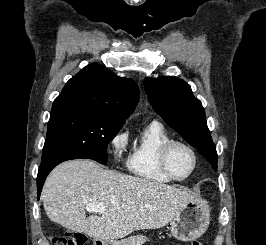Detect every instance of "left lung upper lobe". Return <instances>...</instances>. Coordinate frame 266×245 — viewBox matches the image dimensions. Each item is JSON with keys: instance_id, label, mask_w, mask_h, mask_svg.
<instances>
[{"instance_id": "5c2ea615", "label": "left lung upper lobe", "mask_w": 266, "mask_h": 245, "mask_svg": "<svg viewBox=\"0 0 266 245\" xmlns=\"http://www.w3.org/2000/svg\"><path fill=\"white\" fill-rule=\"evenodd\" d=\"M144 88L153 109L217 169V153L204 108L190 86L177 77L146 78Z\"/></svg>"}]
</instances>
